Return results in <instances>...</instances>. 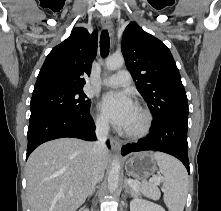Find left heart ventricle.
I'll list each match as a JSON object with an SVG mask.
<instances>
[{"label":"left heart ventricle","instance_id":"b2bd125f","mask_svg":"<svg viewBox=\"0 0 221 211\" xmlns=\"http://www.w3.org/2000/svg\"><path fill=\"white\" fill-rule=\"evenodd\" d=\"M143 118L139 111L135 109L134 113L132 114L127 126L125 127V130L127 131H135L140 128L142 125Z\"/></svg>","mask_w":221,"mask_h":211}]
</instances>
